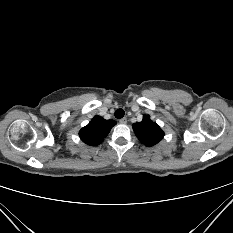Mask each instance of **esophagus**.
<instances>
[{
    "instance_id": "obj_1",
    "label": "esophagus",
    "mask_w": 233,
    "mask_h": 233,
    "mask_svg": "<svg viewBox=\"0 0 233 233\" xmlns=\"http://www.w3.org/2000/svg\"><path fill=\"white\" fill-rule=\"evenodd\" d=\"M119 123L120 124H126L127 123V118L126 117H123L119 120Z\"/></svg>"
}]
</instances>
